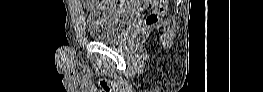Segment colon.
I'll use <instances>...</instances> for the list:
<instances>
[{
    "instance_id": "colon-1",
    "label": "colon",
    "mask_w": 263,
    "mask_h": 92,
    "mask_svg": "<svg viewBox=\"0 0 263 92\" xmlns=\"http://www.w3.org/2000/svg\"><path fill=\"white\" fill-rule=\"evenodd\" d=\"M98 2L100 1H97V5ZM143 2L153 3V5H155V9L146 18V26L151 27L155 25L167 11L168 0H146Z\"/></svg>"
}]
</instances>
